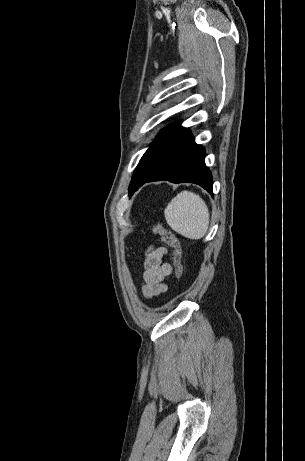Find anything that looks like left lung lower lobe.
<instances>
[{
    "label": "left lung lower lobe",
    "instance_id": "1",
    "mask_svg": "<svg viewBox=\"0 0 305 461\" xmlns=\"http://www.w3.org/2000/svg\"><path fill=\"white\" fill-rule=\"evenodd\" d=\"M150 169L132 189V195L144 183L168 180L172 183H196L212 196V177L204 163L205 151L194 142L190 131L179 122L163 129L151 145Z\"/></svg>",
    "mask_w": 305,
    "mask_h": 461
}]
</instances>
